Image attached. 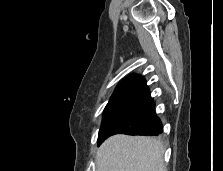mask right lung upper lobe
I'll return each mask as SVG.
<instances>
[{"mask_svg":"<svg viewBox=\"0 0 223 171\" xmlns=\"http://www.w3.org/2000/svg\"><path fill=\"white\" fill-rule=\"evenodd\" d=\"M149 92L145 80L131 75L121 81L113 92L112 98L126 97L138 99Z\"/></svg>","mask_w":223,"mask_h":171,"instance_id":"right-lung-upper-lobe-1","label":"right lung upper lobe"}]
</instances>
